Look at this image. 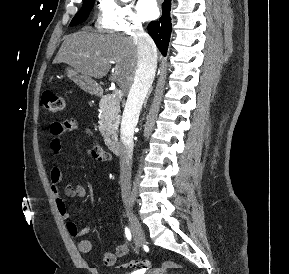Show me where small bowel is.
Wrapping results in <instances>:
<instances>
[{
	"mask_svg": "<svg viewBox=\"0 0 289 274\" xmlns=\"http://www.w3.org/2000/svg\"><path fill=\"white\" fill-rule=\"evenodd\" d=\"M82 131L85 135L89 136L93 141V146L87 151V154L101 162H108L111 160L109 153L104 151L102 147L96 142V136L93 131L89 128L82 127V125L74 119H68L64 121L53 122L49 128L50 135V151L56 156L58 155L63 147V135L67 131ZM50 182H51V192L54 196L55 205L60 216L64 219L69 217V212L66 206L65 200L60 195V184L62 182V171L58 164H53L50 173ZM64 194L66 197L74 198H85L87 196L86 189L79 183H68L64 188ZM68 233L72 237H81L85 236L91 232L90 228H81L79 229L77 225L69 221L66 224ZM78 249L81 253L88 254L93 249V244L89 239H82L78 243ZM129 251V246L126 243L118 245L115 250L107 251L102 256V262L105 266L111 267L115 264L116 260L120 257L125 256Z\"/></svg>",
	"mask_w": 289,
	"mask_h": 274,
	"instance_id": "1",
	"label": "small bowel"
}]
</instances>
